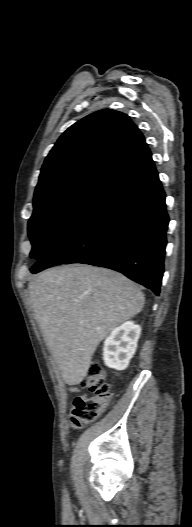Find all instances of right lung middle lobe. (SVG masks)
Wrapping results in <instances>:
<instances>
[{
  "label": "right lung middle lobe",
  "mask_w": 192,
  "mask_h": 527,
  "mask_svg": "<svg viewBox=\"0 0 192 527\" xmlns=\"http://www.w3.org/2000/svg\"><path fill=\"white\" fill-rule=\"evenodd\" d=\"M107 180L86 177L45 190L34 196V212L28 223L32 243L30 257L40 260L95 198Z\"/></svg>",
  "instance_id": "right-lung-middle-lobe-1"
}]
</instances>
